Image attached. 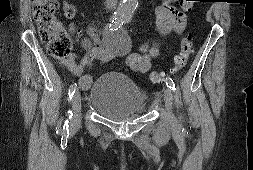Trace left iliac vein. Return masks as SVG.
I'll return each mask as SVG.
<instances>
[{
    "label": "left iliac vein",
    "instance_id": "left-iliac-vein-1",
    "mask_svg": "<svg viewBox=\"0 0 253 170\" xmlns=\"http://www.w3.org/2000/svg\"><path fill=\"white\" fill-rule=\"evenodd\" d=\"M164 102H165V107L168 112L171 123L176 124V120L172 114L173 95L169 87L164 88Z\"/></svg>",
    "mask_w": 253,
    "mask_h": 170
}]
</instances>
